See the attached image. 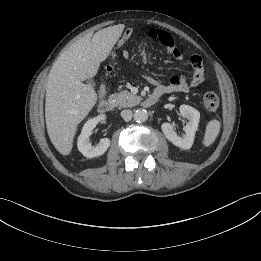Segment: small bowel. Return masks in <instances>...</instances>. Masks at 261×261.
Returning <instances> with one entry per match:
<instances>
[{"mask_svg":"<svg viewBox=\"0 0 261 261\" xmlns=\"http://www.w3.org/2000/svg\"><path fill=\"white\" fill-rule=\"evenodd\" d=\"M147 37L150 40L159 41L163 44L167 50V53L173 56L176 59H182L184 57L183 53L175 45V42L172 36L157 27H149L147 30ZM146 58V54H144ZM190 61L193 65V73L190 80H187L183 76L173 75L167 84H160L155 79L150 78V83L156 86L155 91L160 92L161 94L173 93V92H189L191 88L197 86L203 79V67L201 59L198 55H193L190 57ZM100 95H103L101 91Z\"/></svg>","mask_w":261,"mask_h":261,"instance_id":"small-bowel-1","label":"small bowel"}]
</instances>
